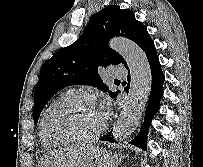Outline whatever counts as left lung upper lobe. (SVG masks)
<instances>
[{
    "instance_id": "1",
    "label": "left lung upper lobe",
    "mask_w": 203,
    "mask_h": 167,
    "mask_svg": "<svg viewBox=\"0 0 203 167\" xmlns=\"http://www.w3.org/2000/svg\"><path fill=\"white\" fill-rule=\"evenodd\" d=\"M114 36L126 37L141 48L151 40L131 10L112 5L94 14L81 37L58 50L42 66L34 92V124L50 98L68 85L84 84L104 92L109 90L98 73L99 68L118 64L128 68L123 57L107 44ZM119 92H109V95L114 98Z\"/></svg>"
}]
</instances>
